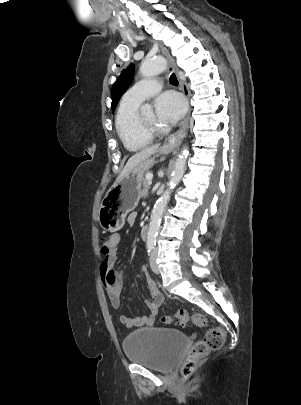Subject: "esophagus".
Instances as JSON below:
<instances>
[{
	"label": "esophagus",
	"mask_w": 301,
	"mask_h": 405,
	"mask_svg": "<svg viewBox=\"0 0 301 405\" xmlns=\"http://www.w3.org/2000/svg\"><path fill=\"white\" fill-rule=\"evenodd\" d=\"M161 49H162V52H163L164 56L167 59L168 71L173 72L176 75H178V68H177V66L175 64L174 59L171 57L168 50L164 46H161ZM180 86H181V89H182V92H183L184 96L187 99H189V92H188L187 88L183 85L181 80H180ZM188 128H189V112L187 113L184 120L182 121L179 130L176 131L175 133L169 135L165 139L163 146L165 148H170V149L175 148L176 146H178L182 142L184 137L187 135Z\"/></svg>",
	"instance_id": "1"
}]
</instances>
